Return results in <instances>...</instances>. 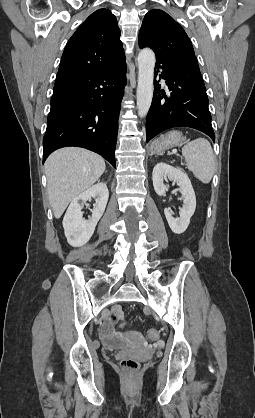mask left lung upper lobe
I'll return each instance as SVG.
<instances>
[{
	"label": "left lung upper lobe",
	"instance_id": "left-lung-upper-lobe-1",
	"mask_svg": "<svg viewBox=\"0 0 255 418\" xmlns=\"http://www.w3.org/2000/svg\"><path fill=\"white\" fill-rule=\"evenodd\" d=\"M138 43L140 48L153 49L156 59L195 57L191 40L184 29L159 9L145 15Z\"/></svg>",
	"mask_w": 255,
	"mask_h": 418
}]
</instances>
